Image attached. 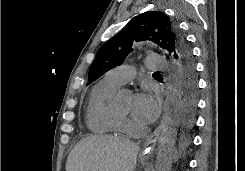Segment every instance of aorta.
Segmentation results:
<instances>
[{
    "label": "aorta",
    "instance_id": "1",
    "mask_svg": "<svg viewBox=\"0 0 245 171\" xmlns=\"http://www.w3.org/2000/svg\"><path fill=\"white\" fill-rule=\"evenodd\" d=\"M167 97L164 107V115L160 126V137L158 141V153L155 164V171H171L174 155L177 127L180 120V110L182 107V91L175 73H170L167 82ZM126 97L125 93H120L118 103Z\"/></svg>",
    "mask_w": 245,
    "mask_h": 171
}]
</instances>
